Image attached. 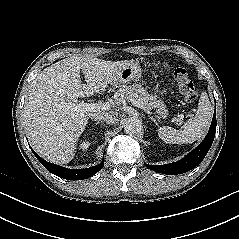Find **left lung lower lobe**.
I'll return each instance as SVG.
<instances>
[{"label": "left lung lower lobe", "instance_id": "1", "mask_svg": "<svg viewBox=\"0 0 239 239\" xmlns=\"http://www.w3.org/2000/svg\"><path fill=\"white\" fill-rule=\"evenodd\" d=\"M215 132H216V112L214 113L212 124L205 139L198 147H196L193 151L187 154L183 159L165 165H154V166L147 164L145 165L150 170L167 175L186 173L194 169L204 159L213 143Z\"/></svg>", "mask_w": 239, "mask_h": 239}]
</instances>
